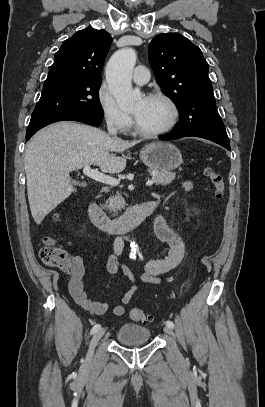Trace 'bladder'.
Masks as SVG:
<instances>
[{"instance_id": "31cf9c89", "label": "bladder", "mask_w": 265, "mask_h": 407, "mask_svg": "<svg viewBox=\"0 0 265 407\" xmlns=\"http://www.w3.org/2000/svg\"><path fill=\"white\" fill-rule=\"evenodd\" d=\"M151 331L134 323L122 325L116 333V339L120 344L138 345L150 340Z\"/></svg>"}]
</instances>
